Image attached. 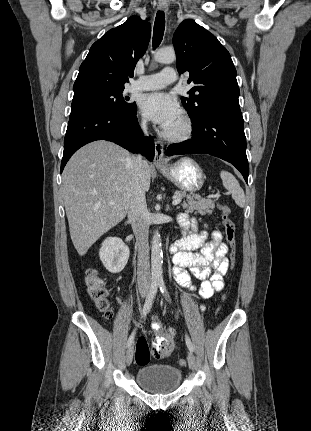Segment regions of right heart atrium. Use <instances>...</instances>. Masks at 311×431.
I'll return each mask as SVG.
<instances>
[{
	"label": "right heart atrium",
	"mask_w": 311,
	"mask_h": 431,
	"mask_svg": "<svg viewBox=\"0 0 311 431\" xmlns=\"http://www.w3.org/2000/svg\"><path fill=\"white\" fill-rule=\"evenodd\" d=\"M136 126L138 130L143 134H147L149 131V122L145 116L140 115L137 117Z\"/></svg>",
	"instance_id": "right-heart-atrium-1"
}]
</instances>
